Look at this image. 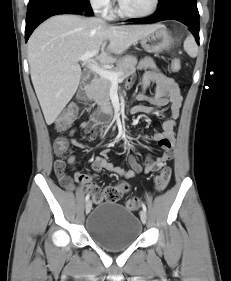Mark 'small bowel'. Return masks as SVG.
<instances>
[{
	"label": "small bowel",
	"mask_w": 231,
	"mask_h": 281,
	"mask_svg": "<svg viewBox=\"0 0 231 281\" xmlns=\"http://www.w3.org/2000/svg\"><path fill=\"white\" fill-rule=\"evenodd\" d=\"M140 68L147 70L142 82V90L136 95L135 100H146L152 105L162 108L170 105V116L163 124V131L157 132L152 136H143L135 139L136 145L142 147L143 141L154 140L158 142L163 153L160 157L154 159L150 154L146 155L144 164L141 165L134 155L128 157V162L131 169H124L111 163L108 158L110 149L105 148L100 152V155L95 157L91 162V167L94 171L92 175L80 173L74 170V179L81 185H89L96 175L104 170L116 173L124 178H134L141 173H150L161 169L167 162L174 157L175 148V128L177 120L180 116L182 106V96L177 83L170 77L163 74L154 61L150 57L143 58L140 61ZM155 83L156 88L153 94H146V89L150 83ZM82 130L86 133L87 138L92 140L101 132L100 125L84 122L81 125ZM74 133V129L70 134ZM74 146L79 148L84 147L83 143L71 140ZM75 158L69 156L67 163L71 166L74 164ZM54 170L62 187L68 191H73L75 186L72 178L66 172V162L63 159H57L54 163Z\"/></svg>",
	"instance_id": "1"
}]
</instances>
